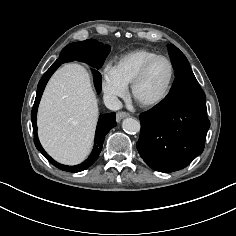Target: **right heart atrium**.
Segmentation results:
<instances>
[{"label":"right heart atrium","instance_id":"right-heart-atrium-1","mask_svg":"<svg viewBox=\"0 0 236 236\" xmlns=\"http://www.w3.org/2000/svg\"><path fill=\"white\" fill-rule=\"evenodd\" d=\"M101 87L105 97L110 101L123 97L127 92V86L118 79L112 66L103 69Z\"/></svg>","mask_w":236,"mask_h":236}]
</instances>
